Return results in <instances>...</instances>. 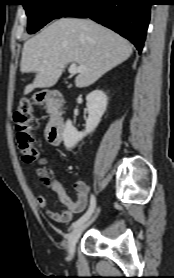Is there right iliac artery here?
<instances>
[{
  "label": "right iliac artery",
  "mask_w": 174,
  "mask_h": 278,
  "mask_svg": "<svg viewBox=\"0 0 174 278\" xmlns=\"http://www.w3.org/2000/svg\"><path fill=\"white\" fill-rule=\"evenodd\" d=\"M95 206H96V199H95L94 195H91L90 205H89L88 210L82 217H80L77 221H75L72 224L71 228H76V227L80 226L81 224H83L85 221H87L90 218V216L92 215V213L94 212Z\"/></svg>",
  "instance_id": "82829eb1"
}]
</instances>
